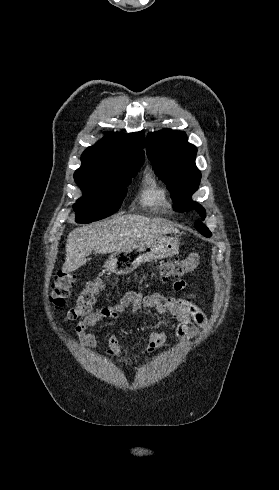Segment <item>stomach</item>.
I'll return each mask as SVG.
<instances>
[{
    "mask_svg": "<svg viewBox=\"0 0 279 490\" xmlns=\"http://www.w3.org/2000/svg\"><path fill=\"white\" fill-rule=\"evenodd\" d=\"M179 242L177 238H153L149 242H142L134 248H126L120 252H114L105 262L104 268L108 272H113L116 276H126L136 270L145 262H153V260H164V258H173L179 254Z\"/></svg>",
    "mask_w": 279,
    "mask_h": 490,
    "instance_id": "obj_1",
    "label": "stomach"
}]
</instances>
